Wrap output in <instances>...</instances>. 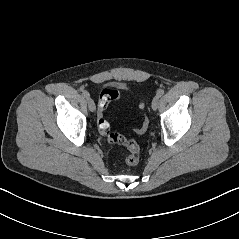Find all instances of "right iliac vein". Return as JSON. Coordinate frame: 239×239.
I'll return each mask as SVG.
<instances>
[{"mask_svg": "<svg viewBox=\"0 0 239 239\" xmlns=\"http://www.w3.org/2000/svg\"><path fill=\"white\" fill-rule=\"evenodd\" d=\"M88 108L91 112L95 111V103L91 98L87 99Z\"/></svg>", "mask_w": 239, "mask_h": 239, "instance_id": "right-iliac-vein-1", "label": "right iliac vein"}]
</instances>
